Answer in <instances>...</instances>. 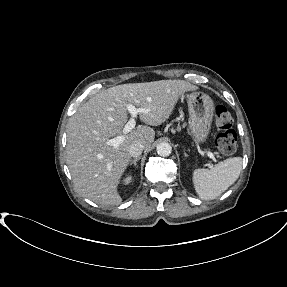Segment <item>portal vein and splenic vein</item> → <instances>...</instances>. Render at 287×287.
Segmentation results:
<instances>
[{"label": "portal vein and splenic vein", "mask_w": 287, "mask_h": 287, "mask_svg": "<svg viewBox=\"0 0 287 287\" xmlns=\"http://www.w3.org/2000/svg\"><path fill=\"white\" fill-rule=\"evenodd\" d=\"M127 110L130 113L131 117L129 121L126 123V125L123 128V133L127 134L130 131H132L135 128L136 125V118L139 113H148L149 110L145 108H136L134 105L129 104L127 106ZM124 136L119 135L116 136L115 138L109 139L106 141V144L109 146L117 147L119 146L123 141H124ZM207 156L211 159H214V155L211 152L207 153Z\"/></svg>", "instance_id": "18ae733b"}]
</instances>
